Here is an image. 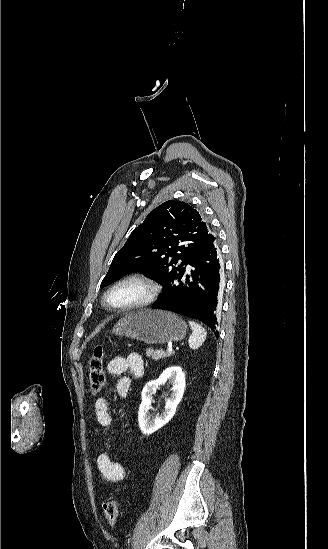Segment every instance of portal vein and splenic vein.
Returning <instances> with one entry per match:
<instances>
[{"mask_svg":"<svg viewBox=\"0 0 328 549\" xmlns=\"http://www.w3.org/2000/svg\"><path fill=\"white\" fill-rule=\"evenodd\" d=\"M173 349L172 347H169V349L167 350V353H172Z\"/></svg>","mask_w":328,"mask_h":549,"instance_id":"1","label":"portal vein and splenic vein"}]
</instances>
